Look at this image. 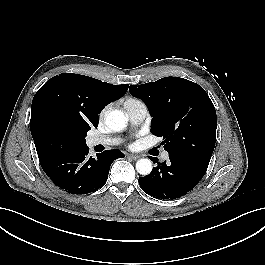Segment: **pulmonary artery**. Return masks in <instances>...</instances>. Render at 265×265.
<instances>
[{
  "mask_svg": "<svg viewBox=\"0 0 265 265\" xmlns=\"http://www.w3.org/2000/svg\"><path fill=\"white\" fill-rule=\"evenodd\" d=\"M126 111L128 113V117L130 122L137 126L142 123L144 118L147 114V108L146 105L143 102H135L131 104L125 105ZM120 139L116 137L111 136H92L89 137L87 140V144L89 147H94L96 145H117L120 143ZM169 154L168 152L164 151L161 155L162 160H166L168 158Z\"/></svg>",
  "mask_w": 265,
  "mask_h": 265,
  "instance_id": "e3ab8cb5",
  "label": "pulmonary artery"
}]
</instances>
